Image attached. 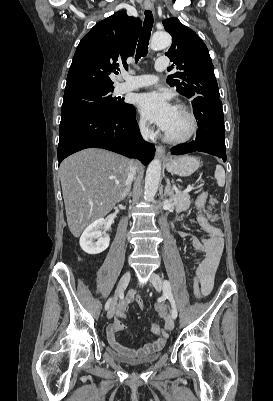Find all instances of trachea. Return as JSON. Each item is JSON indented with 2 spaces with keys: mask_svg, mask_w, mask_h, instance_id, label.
Returning a JSON list of instances; mask_svg holds the SVG:
<instances>
[{
  "mask_svg": "<svg viewBox=\"0 0 273 401\" xmlns=\"http://www.w3.org/2000/svg\"><path fill=\"white\" fill-rule=\"evenodd\" d=\"M153 15L150 10L145 11V20L143 28L139 37L135 61L137 62L141 57H145L148 53L149 39L153 27Z\"/></svg>",
  "mask_w": 273,
  "mask_h": 401,
  "instance_id": "3493384b",
  "label": "trachea"
}]
</instances>
